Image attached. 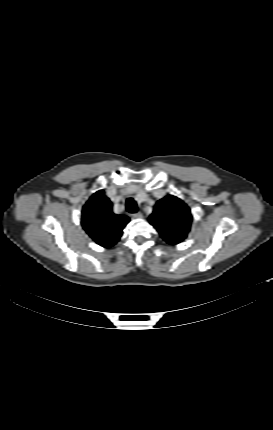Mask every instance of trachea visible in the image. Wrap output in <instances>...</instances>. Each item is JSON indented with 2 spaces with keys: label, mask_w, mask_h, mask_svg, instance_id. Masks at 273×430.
<instances>
[{
  "label": "trachea",
  "mask_w": 273,
  "mask_h": 430,
  "mask_svg": "<svg viewBox=\"0 0 273 430\" xmlns=\"http://www.w3.org/2000/svg\"><path fill=\"white\" fill-rule=\"evenodd\" d=\"M126 208H127L128 212H130V213H136L137 212V204L133 198L127 199Z\"/></svg>",
  "instance_id": "3493384b"
}]
</instances>
